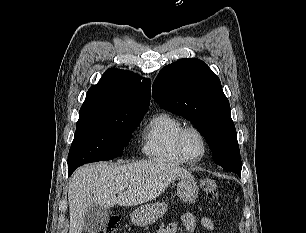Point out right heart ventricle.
Wrapping results in <instances>:
<instances>
[{
  "label": "right heart ventricle",
  "instance_id": "obj_1",
  "mask_svg": "<svg viewBox=\"0 0 306 233\" xmlns=\"http://www.w3.org/2000/svg\"><path fill=\"white\" fill-rule=\"evenodd\" d=\"M184 127V123L169 112L155 115L144 129L143 152L150 158L183 163L177 147V138Z\"/></svg>",
  "mask_w": 306,
  "mask_h": 233
}]
</instances>
